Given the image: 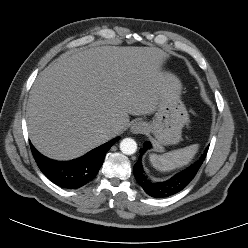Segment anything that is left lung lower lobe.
<instances>
[{"instance_id":"1","label":"left lung lower lobe","mask_w":248,"mask_h":248,"mask_svg":"<svg viewBox=\"0 0 248 248\" xmlns=\"http://www.w3.org/2000/svg\"><path fill=\"white\" fill-rule=\"evenodd\" d=\"M151 148L150 142L146 141L144 147L140 149V157L138 162L134 165L133 173L137 183L143 190L151 197L163 198L174 195L183 190L195 177L207 154L208 147L205 149L201 157L188 168L174 175L164 182H153L144 173L142 169L141 156L144 152Z\"/></svg>"}]
</instances>
